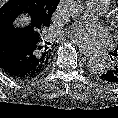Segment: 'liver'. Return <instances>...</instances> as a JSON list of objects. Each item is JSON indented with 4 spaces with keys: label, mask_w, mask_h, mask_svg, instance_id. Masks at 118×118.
<instances>
[{
    "label": "liver",
    "mask_w": 118,
    "mask_h": 118,
    "mask_svg": "<svg viewBox=\"0 0 118 118\" xmlns=\"http://www.w3.org/2000/svg\"><path fill=\"white\" fill-rule=\"evenodd\" d=\"M27 20H29L28 17H23V18L21 19V22H24V21H27Z\"/></svg>",
    "instance_id": "6515ba94"
}]
</instances>
